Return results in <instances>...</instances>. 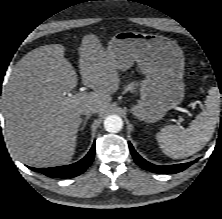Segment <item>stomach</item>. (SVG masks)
<instances>
[{"instance_id": "0dacf381", "label": "stomach", "mask_w": 222, "mask_h": 219, "mask_svg": "<svg viewBox=\"0 0 222 219\" xmlns=\"http://www.w3.org/2000/svg\"><path fill=\"white\" fill-rule=\"evenodd\" d=\"M106 52L115 60L118 70L125 71L136 62L146 76L140 100L131 107L138 119L158 121L182 102L184 55L175 41L154 34L120 31L108 42Z\"/></svg>"}]
</instances>
